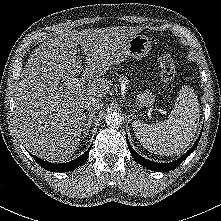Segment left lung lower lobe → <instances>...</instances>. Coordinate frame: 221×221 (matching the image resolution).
I'll use <instances>...</instances> for the list:
<instances>
[{
  "label": "left lung lower lobe",
  "mask_w": 221,
  "mask_h": 221,
  "mask_svg": "<svg viewBox=\"0 0 221 221\" xmlns=\"http://www.w3.org/2000/svg\"><path fill=\"white\" fill-rule=\"evenodd\" d=\"M201 135L199 136L198 140L195 142V144L193 145V147L187 151L183 156H181L179 159H177L176 161L173 162H169V163H157V162H153L150 160H147L143 157H141L138 153H136L134 151V149L131 147L128 138L126 136V140H127V144L129 146V150L132 154V157L134 158L135 161H137L140 165L146 167L147 169L153 170V171H157V172H166V171H170L175 169L178 165H180V163L185 160L197 147L199 140H200Z\"/></svg>",
  "instance_id": "left-lung-lower-lobe-1"
}]
</instances>
